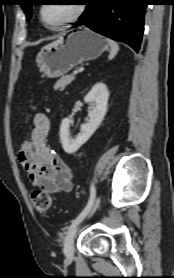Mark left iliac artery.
<instances>
[{"mask_svg":"<svg viewBox=\"0 0 174 278\" xmlns=\"http://www.w3.org/2000/svg\"><path fill=\"white\" fill-rule=\"evenodd\" d=\"M95 197H96V188H95V184L92 183L90 187L89 201L85 206V208L82 210V212L72 221L69 230L72 229L74 226H76L79 222H81L84 219V217L87 215V213L90 211L91 207L93 206Z\"/></svg>","mask_w":174,"mask_h":278,"instance_id":"obj_1","label":"left iliac artery"}]
</instances>
